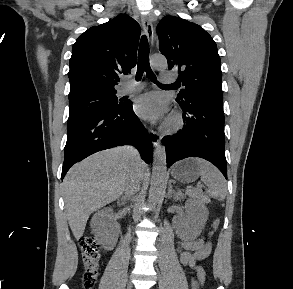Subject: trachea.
<instances>
[{
  "label": "trachea",
  "mask_w": 293,
  "mask_h": 289,
  "mask_svg": "<svg viewBox=\"0 0 293 289\" xmlns=\"http://www.w3.org/2000/svg\"><path fill=\"white\" fill-rule=\"evenodd\" d=\"M146 72L147 77L159 86H164L157 81V78L150 68L149 64V44L147 37L143 35L140 41V47L138 51V69L136 73V80L140 81L143 73Z\"/></svg>",
  "instance_id": "3493384b"
}]
</instances>
